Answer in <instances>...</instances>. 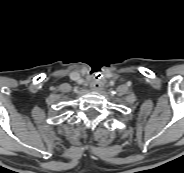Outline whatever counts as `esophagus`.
Masks as SVG:
<instances>
[{
	"mask_svg": "<svg viewBox=\"0 0 184 173\" xmlns=\"http://www.w3.org/2000/svg\"><path fill=\"white\" fill-rule=\"evenodd\" d=\"M90 88H91V90H99V89H101V85L99 83L93 81L90 84Z\"/></svg>",
	"mask_w": 184,
	"mask_h": 173,
	"instance_id": "esophagus-1",
	"label": "esophagus"
}]
</instances>
